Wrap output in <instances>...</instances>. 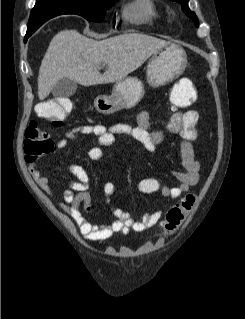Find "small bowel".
<instances>
[{
    "label": "small bowel",
    "mask_w": 245,
    "mask_h": 319,
    "mask_svg": "<svg viewBox=\"0 0 245 319\" xmlns=\"http://www.w3.org/2000/svg\"><path fill=\"white\" fill-rule=\"evenodd\" d=\"M173 92H182L185 99L191 105L196 100V92L192 81L183 77L179 79ZM199 114L194 109L184 112H174L167 124V131H156L151 128L150 116L147 111H141L136 118L135 126L128 124H116L111 127L103 125H83L68 130L62 138L56 141L57 150H63L68 145V140L76 139L80 134L94 135L97 137V145L88 151L91 161H99L103 156V148L112 145L115 136L141 144L147 151L153 152L167 134L175 135L179 140L180 162L182 169L172 171L177 184L173 186L163 184L154 177L144 178L138 183V190L143 194L161 193L171 199L180 198L191 187L199 182L200 163L195 156L191 142L199 136L197 123ZM38 185L50 196L55 192L50 186L49 179L43 176L32 164L29 168ZM66 170L77 180H69L68 188L62 193L63 201L60 208L65 211L77 224L80 232L86 239L102 241L110 238L114 233L127 234L130 230L145 232L155 226L161 219L165 206L153 213H144L138 218H133L128 212L119 208L114 202L116 186L113 182L103 185V197L114 221L109 223H92L84 217V213L92 211V198L88 192L90 177L87 171L76 163H68ZM76 193V194H75Z\"/></svg>",
    "instance_id": "c3829d8e"
}]
</instances>
